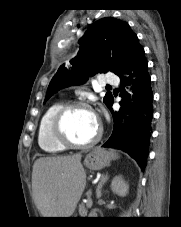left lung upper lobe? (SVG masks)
<instances>
[{"label": "left lung upper lobe", "instance_id": "1", "mask_svg": "<svg viewBox=\"0 0 181 227\" xmlns=\"http://www.w3.org/2000/svg\"><path fill=\"white\" fill-rule=\"evenodd\" d=\"M79 42L80 49L68 68L61 65L52 78L45 100L61 88L81 84L99 72L112 71L119 76L133 48L139 43L128 23L112 17L91 24ZM112 100V94L107 92L104 97L107 107Z\"/></svg>", "mask_w": 181, "mask_h": 227}]
</instances>
